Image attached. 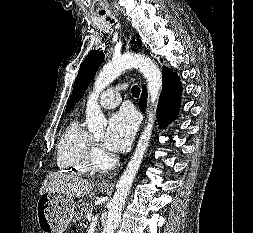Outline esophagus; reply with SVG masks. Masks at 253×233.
<instances>
[{
	"instance_id": "34e87169",
	"label": "esophagus",
	"mask_w": 253,
	"mask_h": 233,
	"mask_svg": "<svg viewBox=\"0 0 253 233\" xmlns=\"http://www.w3.org/2000/svg\"><path fill=\"white\" fill-rule=\"evenodd\" d=\"M99 185H101V186H105V187H109V186H112V185H113V183H112V181H111V180H109V179H105V180H102V181L99 183Z\"/></svg>"
}]
</instances>
